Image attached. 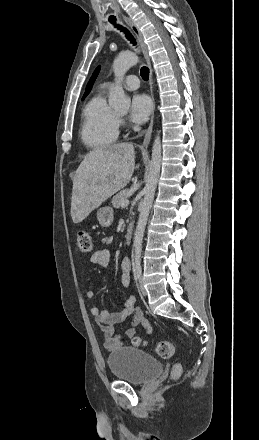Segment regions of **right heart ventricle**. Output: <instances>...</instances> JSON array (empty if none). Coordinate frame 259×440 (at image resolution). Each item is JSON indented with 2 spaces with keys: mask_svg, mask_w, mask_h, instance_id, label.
Segmentation results:
<instances>
[{
  "mask_svg": "<svg viewBox=\"0 0 259 440\" xmlns=\"http://www.w3.org/2000/svg\"><path fill=\"white\" fill-rule=\"evenodd\" d=\"M115 111L107 104L103 91L95 94L82 113L80 137L91 150L113 145L119 136V121Z\"/></svg>",
  "mask_w": 259,
  "mask_h": 440,
  "instance_id": "1",
  "label": "right heart ventricle"
}]
</instances>
